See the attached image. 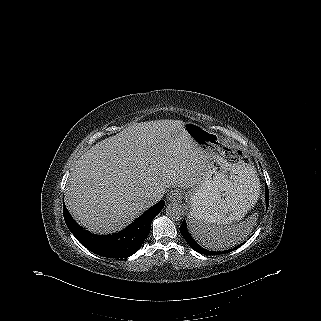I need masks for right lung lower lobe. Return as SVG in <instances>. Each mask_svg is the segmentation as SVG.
Listing matches in <instances>:
<instances>
[{
  "instance_id": "obj_1",
  "label": "right lung lower lobe",
  "mask_w": 321,
  "mask_h": 321,
  "mask_svg": "<svg viewBox=\"0 0 321 321\" xmlns=\"http://www.w3.org/2000/svg\"><path fill=\"white\" fill-rule=\"evenodd\" d=\"M165 202L159 201L124 230L112 235H95L80 227L71 217L65 204L63 214L66 225L76 239L91 252L108 258H126L139 250L147 238L153 218L163 209Z\"/></svg>"
}]
</instances>
